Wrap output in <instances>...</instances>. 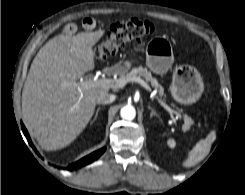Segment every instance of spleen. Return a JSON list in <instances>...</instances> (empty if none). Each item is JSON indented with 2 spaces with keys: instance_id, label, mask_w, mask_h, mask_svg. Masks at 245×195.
Masks as SVG:
<instances>
[{
  "instance_id": "spleen-1",
  "label": "spleen",
  "mask_w": 245,
  "mask_h": 195,
  "mask_svg": "<svg viewBox=\"0 0 245 195\" xmlns=\"http://www.w3.org/2000/svg\"><path fill=\"white\" fill-rule=\"evenodd\" d=\"M214 138V133L212 132L208 139L200 141L194 149L191 151L189 159L184 162L185 167L194 166L200 161V159L207 155L210 150L211 140ZM168 145L170 147H175L176 143L173 139L168 140Z\"/></svg>"
}]
</instances>
